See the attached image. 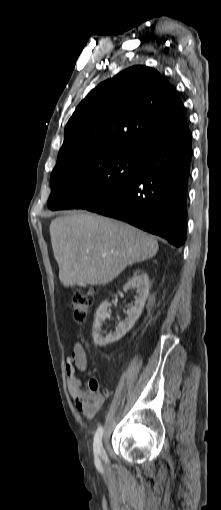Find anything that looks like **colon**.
<instances>
[{"label": "colon", "instance_id": "obj_1", "mask_svg": "<svg viewBox=\"0 0 221 510\" xmlns=\"http://www.w3.org/2000/svg\"><path fill=\"white\" fill-rule=\"evenodd\" d=\"M94 293L92 290H82L77 293L71 303L73 319L82 323L86 320L93 304ZM82 403L89 410H98L103 403V394L95 379L88 382L87 391L82 394Z\"/></svg>", "mask_w": 221, "mask_h": 510}]
</instances>
